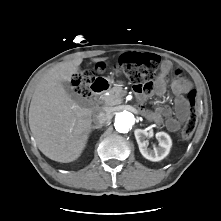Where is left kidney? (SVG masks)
I'll return each mask as SVG.
<instances>
[{
  "instance_id": "obj_1",
  "label": "left kidney",
  "mask_w": 221,
  "mask_h": 221,
  "mask_svg": "<svg viewBox=\"0 0 221 221\" xmlns=\"http://www.w3.org/2000/svg\"><path fill=\"white\" fill-rule=\"evenodd\" d=\"M134 134L139 146L140 153L144 158L153 162H157L164 159L169 154L170 148L172 146V140L167 133H156V137L159 140V147L154 148L153 150L148 148L146 141V138L151 136L150 133L142 129H137Z\"/></svg>"
}]
</instances>
